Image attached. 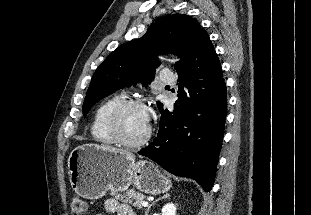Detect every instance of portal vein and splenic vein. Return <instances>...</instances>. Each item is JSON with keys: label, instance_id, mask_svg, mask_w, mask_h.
<instances>
[{"label": "portal vein and splenic vein", "instance_id": "18ae733b", "mask_svg": "<svg viewBox=\"0 0 311 215\" xmlns=\"http://www.w3.org/2000/svg\"><path fill=\"white\" fill-rule=\"evenodd\" d=\"M141 205L144 206V207H147V206H148V202H146V201H141Z\"/></svg>", "mask_w": 311, "mask_h": 215}]
</instances>
